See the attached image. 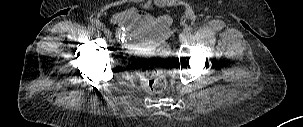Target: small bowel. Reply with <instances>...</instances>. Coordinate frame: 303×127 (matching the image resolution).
<instances>
[{
    "label": "small bowel",
    "mask_w": 303,
    "mask_h": 127,
    "mask_svg": "<svg viewBox=\"0 0 303 127\" xmlns=\"http://www.w3.org/2000/svg\"><path fill=\"white\" fill-rule=\"evenodd\" d=\"M117 32L124 38L127 32L145 40L142 50L147 51L163 43L170 36L171 19L168 16L155 17L146 10L128 8L114 14L111 18Z\"/></svg>",
    "instance_id": "obj_1"
}]
</instances>
